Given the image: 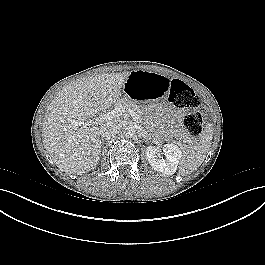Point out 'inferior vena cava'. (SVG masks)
Segmentation results:
<instances>
[{
  "label": "inferior vena cava",
  "instance_id": "1",
  "mask_svg": "<svg viewBox=\"0 0 265 265\" xmlns=\"http://www.w3.org/2000/svg\"><path fill=\"white\" fill-rule=\"evenodd\" d=\"M118 133V126L113 122H108L100 127V136L109 138Z\"/></svg>",
  "mask_w": 265,
  "mask_h": 265
}]
</instances>
